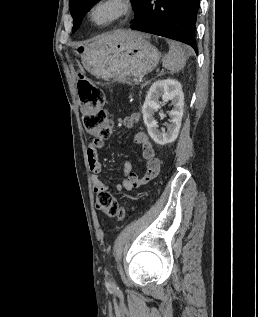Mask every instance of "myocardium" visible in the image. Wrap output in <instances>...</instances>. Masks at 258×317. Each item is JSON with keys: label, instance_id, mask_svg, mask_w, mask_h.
Masks as SVG:
<instances>
[{"label": "myocardium", "instance_id": "obj_1", "mask_svg": "<svg viewBox=\"0 0 258 317\" xmlns=\"http://www.w3.org/2000/svg\"><path fill=\"white\" fill-rule=\"evenodd\" d=\"M102 8L110 9V15L101 17L99 10ZM130 11L131 4L126 0H96L90 8L89 16L95 25L108 26L126 17Z\"/></svg>", "mask_w": 258, "mask_h": 317}]
</instances>
